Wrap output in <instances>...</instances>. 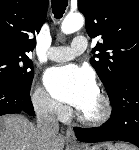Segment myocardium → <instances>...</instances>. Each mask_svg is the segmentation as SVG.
<instances>
[{
	"instance_id": "1",
	"label": "myocardium",
	"mask_w": 139,
	"mask_h": 150,
	"mask_svg": "<svg viewBox=\"0 0 139 150\" xmlns=\"http://www.w3.org/2000/svg\"><path fill=\"white\" fill-rule=\"evenodd\" d=\"M101 103V111L95 116H86L80 111L77 112V119L84 125L97 127L105 124L111 117L113 107L110 98L105 93H98Z\"/></svg>"
}]
</instances>
